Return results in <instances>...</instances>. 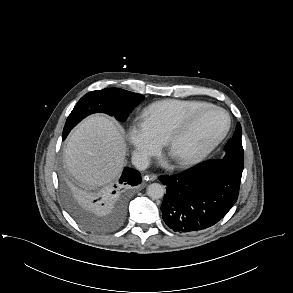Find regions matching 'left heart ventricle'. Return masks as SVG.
Segmentation results:
<instances>
[{
    "mask_svg": "<svg viewBox=\"0 0 293 293\" xmlns=\"http://www.w3.org/2000/svg\"><path fill=\"white\" fill-rule=\"evenodd\" d=\"M225 124L226 118L223 113L215 110L203 113L169 151L170 155L177 160L202 148L224 129Z\"/></svg>",
    "mask_w": 293,
    "mask_h": 293,
    "instance_id": "obj_1",
    "label": "left heart ventricle"
}]
</instances>
